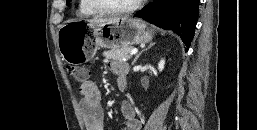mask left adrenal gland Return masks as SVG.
Segmentation results:
<instances>
[{"label": "left adrenal gland", "mask_w": 257, "mask_h": 130, "mask_svg": "<svg viewBox=\"0 0 257 130\" xmlns=\"http://www.w3.org/2000/svg\"><path fill=\"white\" fill-rule=\"evenodd\" d=\"M154 45H155V43H150V45H149L147 48H145V49H143L141 52H139V53L136 55V57L134 58V60H133V62H132V65L135 64V62L137 61V59L140 57V55H141L144 51L150 49V48H151L152 46H154Z\"/></svg>", "instance_id": "a2214340"}]
</instances>
